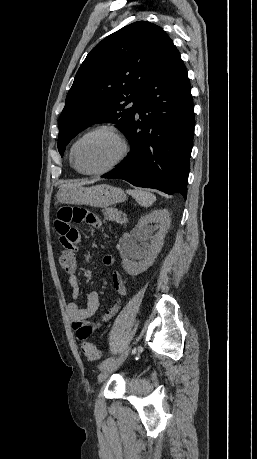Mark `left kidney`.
Masks as SVG:
<instances>
[{"instance_id": "5707ae66", "label": "left kidney", "mask_w": 257, "mask_h": 459, "mask_svg": "<svg viewBox=\"0 0 257 459\" xmlns=\"http://www.w3.org/2000/svg\"><path fill=\"white\" fill-rule=\"evenodd\" d=\"M170 222V213L166 209L154 210L138 220L132 236L141 242L150 241V244L141 247L135 240H132L124 248L122 264L129 275H138L153 264L163 246Z\"/></svg>"}]
</instances>
